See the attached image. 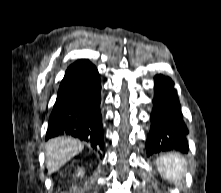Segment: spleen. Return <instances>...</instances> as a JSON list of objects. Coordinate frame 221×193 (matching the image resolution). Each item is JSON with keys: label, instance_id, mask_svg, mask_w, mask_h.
Instances as JSON below:
<instances>
[{"label": "spleen", "instance_id": "obj_1", "mask_svg": "<svg viewBox=\"0 0 221 193\" xmlns=\"http://www.w3.org/2000/svg\"><path fill=\"white\" fill-rule=\"evenodd\" d=\"M159 173L168 181L178 182L182 179L186 168V160L175 153L160 156L157 161Z\"/></svg>", "mask_w": 221, "mask_h": 193}]
</instances>
